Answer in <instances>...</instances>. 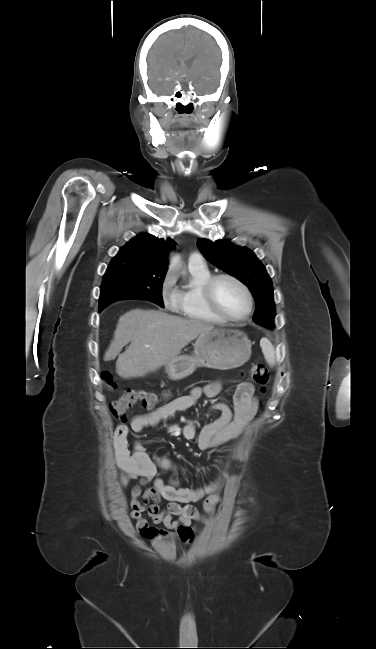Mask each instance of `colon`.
<instances>
[{"label": "colon", "instance_id": "5ec220e1", "mask_svg": "<svg viewBox=\"0 0 376 649\" xmlns=\"http://www.w3.org/2000/svg\"><path fill=\"white\" fill-rule=\"evenodd\" d=\"M250 374L253 381L260 386L261 393H264L269 381L268 368L261 363L254 364L250 368ZM103 380L107 386H115L114 377L110 372L103 373ZM157 402L158 398L154 393L136 389H125L121 392L119 398L112 402L110 410L116 418H123L126 412L137 403L145 408H151Z\"/></svg>", "mask_w": 376, "mask_h": 649}]
</instances>
